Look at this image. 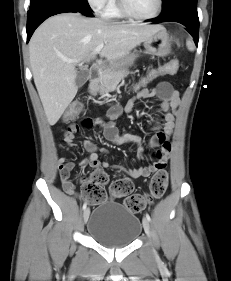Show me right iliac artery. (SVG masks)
Here are the masks:
<instances>
[{
    "instance_id": "1",
    "label": "right iliac artery",
    "mask_w": 231,
    "mask_h": 281,
    "mask_svg": "<svg viewBox=\"0 0 231 281\" xmlns=\"http://www.w3.org/2000/svg\"><path fill=\"white\" fill-rule=\"evenodd\" d=\"M86 207H87V204H86V203H84V204H83V210H85V209H86Z\"/></svg>"
}]
</instances>
